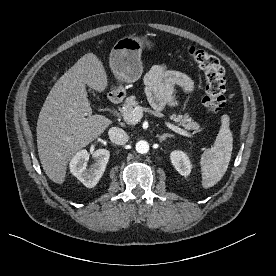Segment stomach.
Segmentation results:
<instances>
[{
    "label": "stomach",
    "mask_w": 276,
    "mask_h": 276,
    "mask_svg": "<svg viewBox=\"0 0 276 276\" xmlns=\"http://www.w3.org/2000/svg\"><path fill=\"white\" fill-rule=\"evenodd\" d=\"M154 43L146 37H126L113 46L109 64L115 77L122 83L137 81L142 74L141 53L144 48L152 50ZM124 91L123 86L114 87L112 93Z\"/></svg>",
    "instance_id": "stomach-1"
}]
</instances>
